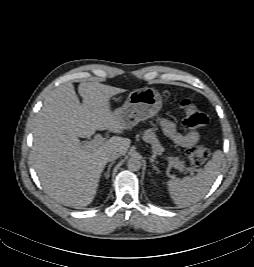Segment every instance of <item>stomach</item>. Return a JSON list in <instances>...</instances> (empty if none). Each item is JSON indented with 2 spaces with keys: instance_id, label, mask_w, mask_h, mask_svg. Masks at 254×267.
Returning a JSON list of instances; mask_svg holds the SVG:
<instances>
[{
  "instance_id": "stomach-1",
  "label": "stomach",
  "mask_w": 254,
  "mask_h": 267,
  "mask_svg": "<svg viewBox=\"0 0 254 267\" xmlns=\"http://www.w3.org/2000/svg\"><path fill=\"white\" fill-rule=\"evenodd\" d=\"M163 106L161 94L154 88L136 89L128 95L123 106L113 113L117 115L126 128L156 115Z\"/></svg>"
}]
</instances>
